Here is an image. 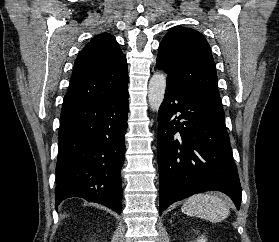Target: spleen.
<instances>
[{"mask_svg": "<svg viewBox=\"0 0 279 242\" xmlns=\"http://www.w3.org/2000/svg\"><path fill=\"white\" fill-rule=\"evenodd\" d=\"M187 215L211 222H221L229 216L230 209L218 195L199 193L189 197L181 208Z\"/></svg>", "mask_w": 279, "mask_h": 242, "instance_id": "spleen-1", "label": "spleen"}]
</instances>
